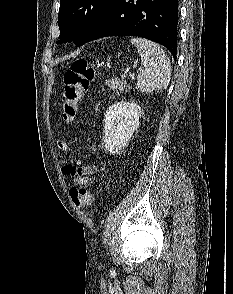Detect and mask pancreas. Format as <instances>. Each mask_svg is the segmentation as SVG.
<instances>
[{
  "instance_id": "pancreas-1",
  "label": "pancreas",
  "mask_w": 233,
  "mask_h": 294,
  "mask_svg": "<svg viewBox=\"0 0 233 294\" xmlns=\"http://www.w3.org/2000/svg\"><path fill=\"white\" fill-rule=\"evenodd\" d=\"M106 85L115 91H122L126 87V83L120 81L118 78H112L111 80L106 81Z\"/></svg>"
}]
</instances>
